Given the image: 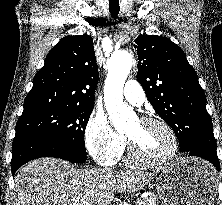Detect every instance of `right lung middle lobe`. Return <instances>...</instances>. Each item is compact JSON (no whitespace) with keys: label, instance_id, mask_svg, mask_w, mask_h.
<instances>
[{"label":"right lung middle lobe","instance_id":"right-lung-middle-lobe-1","mask_svg":"<svg viewBox=\"0 0 222 205\" xmlns=\"http://www.w3.org/2000/svg\"><path fill=\"white\" fill-rule=\"evenodd\" d=\"M92 110L93 106H56L22 113L15 137H47L86 154L84 131Z\"/></svg>","mask_w":222,"mask_h":205}]
</instances>
